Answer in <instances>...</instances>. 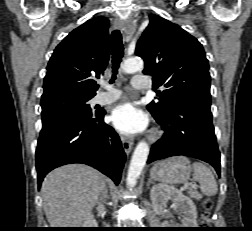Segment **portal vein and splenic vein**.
Here are the masks:
<instances>
[{"instance_id":"18ae733b","label":"portal vein and splenic vein","mask_w":252,"mask_h":231,"mask_svg":"<svg viewBox=\"0 0 252 231\" xmlns=\"http://www.w3.org/2000/svg\"><path fill=\"white\" fill-rule=\"evenodd\" d=\"M198 186L196 185V184H193L192 185V188H197ZM188 188H189V185L188 184H185L184 186H182L180 189H181V191H186V190H188Z\"/></svg>"}]
</instances>
